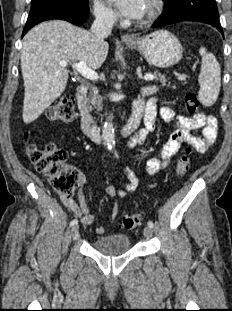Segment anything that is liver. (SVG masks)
Instances as JSON below:
<instances>
[{
	"instance_id": "obj_1",
	"label": "liver",
	"mask_w": 232,
	"mask_h": 311,
	"mask_svg": "<svg viewBox=\"0 0 232 311\" xmlns=\"http://www.w3.org/2000/svg\"><path fill=\"white\" fill-rule=\"evenodd\" d=\"M109 45L68 22L41 23L23 39L21 71L25 94L23 121H35L65 90L68 72L59 62L84 61L91 69L104 63Z\"/></svg>"
}]
</instances>
